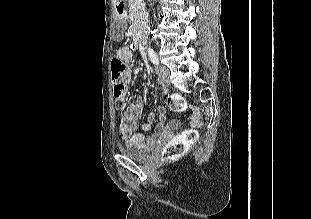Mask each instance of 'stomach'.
Instances as JSON below:
<instances>
[{
    "instance_id": "stomach-1",
    "label": "stomach",
    "mask_w": 311,
    "mask_h": 219,
    "mask_svg": "<svg viewBox=\"0 0 311 219\" xmlns=\"http://www.w3.org/2000/svg\"><path fill=\"white\" fill-rule=\"evenodd\" d=\"M115 18H116V20H122L123 22H126V17L124 15L117 13Z\"/></svg>"
}]
</instances>
